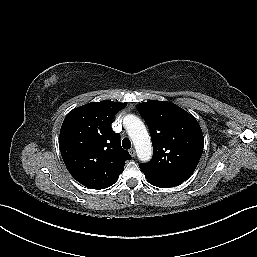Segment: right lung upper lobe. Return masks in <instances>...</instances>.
Returning <instances> with one entry per match:
<instances>
[{"label": "right lung upper lobe", "mask_w": 257, "mask_h": 257, "mask_svg": "<svg viewBox=\"0 0 257 257\" xmlns=\"http://www.w3.org/2000/svg\"><path fill=\"white\" fill-rule=\"evenodd\" d=\"M125 103L104 100L75 108L65 117L59 147L75 180L91 189L113 185L131 156L122 149L120 135L111 128L113 117Z\"/></svg>", "instance_id": "obj_1"}]
</instances>
